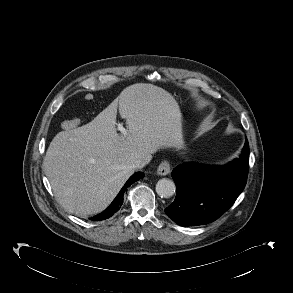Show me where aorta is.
Here are the masks:
<instances>
[{"mask_svg":"<svg viewBox=\"0 0 293 293\" xmlns=\"http://www.w3.org/2000/svg\"><path fill=\"white\" fill-rule=\"evenodd\" d=\"M175 191V183L170 179H160L156 184V192L162 198H169L173 196Z\"/></svg>","mask_w":293,"mask_h":293,"instance_id":"762f6f07","label":"aorta"}]
</instances>
